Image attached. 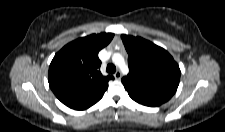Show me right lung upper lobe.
Here are the masks:
<instances>
[{"label":"right lung upper lobe","mask_w":225,"mask_h":132,"mask_svg":"<svg viewBox=\"0 0 225 132\" xmlns=\"http://www.w3.org/2000/svg\"><path fill=\"white\" fill-rule=\"evenodd\" d=\"M113 33L92 34L65 45L49 66L48 82L56 97L74 110L97 103L114 77L103 76L98 52L112 40Z\"/></svg>","instance_id":"obj_1"}]
</instances>
